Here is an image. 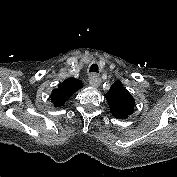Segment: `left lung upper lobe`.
<instances>
[{
    "mask_svg": "<svg viewBox=\"0 0 177 177\" xmlns=\"http://www.w3.org/2000/svg\"><path fill=\"white\" fill-rule=\"evenodd\" d=\"M112 114L118 119H126L134 111V98L123 87L120 81H116L106 94Z\"/></svg>",
    "mask_w": 177,
    "mask_h": 177,
    "instance_id": "left-lung-upper-lobe-1",
    "label": "left lung upper lobe"
}]
</instances>
